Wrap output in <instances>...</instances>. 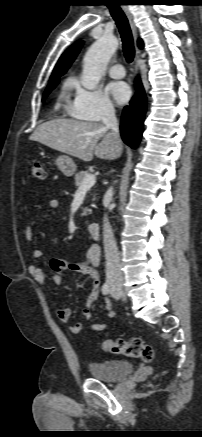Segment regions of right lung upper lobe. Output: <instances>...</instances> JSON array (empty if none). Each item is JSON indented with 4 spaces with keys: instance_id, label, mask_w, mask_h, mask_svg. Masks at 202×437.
I'll use <instances>...</instances> for the list:
<instances>
[{
    "instance_id": "cb5924a9",
    "label": "right lung upper lobe",
    "mask_w": 202,
    "mask_h": 437,
    "mask_svg": "<svg viewBox=\"0 0 202 437\" xmlns=\"http://www.w3.org/2000/svg\"><path fill=\"white\" fill-rule=\"evenodd\" d=\"M83 45V41H78L74 43L71 47H69L58 60L53 73L50 78V82L59 80V77L65 74L67 69L70 67L71 63L75 60L77 54L79 53L81 47ZM138 46L143 48V41L138 40Z\"/></svg>"
}]
</instances>
